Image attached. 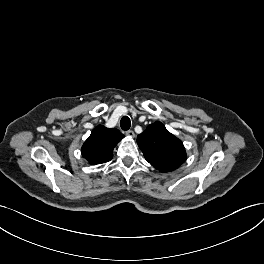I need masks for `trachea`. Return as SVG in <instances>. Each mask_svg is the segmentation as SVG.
I'll return each mask as SVG.
<instances>
[{"label":"trachea","instance_id":"trachea-1","mask_svg":"<svg viewBox=\"0 0 264 264\" xmlns=\"http://www.w3.org/2000/svg\"><path fill=\"white\" fill-rule=\"evenodd\" d=\"M120 126H121V129L124 131L129 130V128L131 126V121H130L129 117H127V116L122 117V119L120 121Z\"/></svg>","mask_w":264,"mask_h":264}]
</instances>
